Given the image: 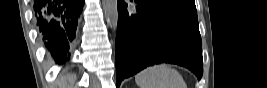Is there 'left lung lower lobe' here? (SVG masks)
Masks as SVG:
<instances>
[{
  "label": "left lung lower lobe",
  "instance_id": "left-lung-lower-lobe-1",
  "mask_svg": "<svg viewBox=\"0 0 267 88\" xmlns=\"http://www.w3.org/2000/svg\"><path fill=\"white\" fill-rule=\"evenodd\" d=\"M117 4V87L123 79L158 63L187 67L201 79L202 42L196 16L147 7L138 1H134L136 13L132 14L124 0Z\"/></svg>",
  "mask_w": 267,
  "mask_h": 88
}]
</instances>
